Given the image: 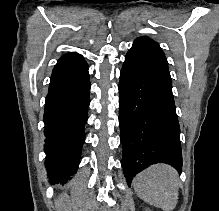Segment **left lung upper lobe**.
<instances>
[{"instance_id":"1","label":"left lung upper lobe","mask_w":219,"mask_h":211,"mask_svg":"<svg viewBox=\"0 0 219 211\" xmlns=\"http://www.w3.org/2000/svg\"><path fill=\"white\" fill-rule=\"evenodd\" d=\"M131 50L168 67L167 59L158 43L148 37L137 38Z\"/></svg>"}]
</instances>
